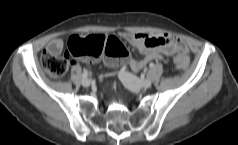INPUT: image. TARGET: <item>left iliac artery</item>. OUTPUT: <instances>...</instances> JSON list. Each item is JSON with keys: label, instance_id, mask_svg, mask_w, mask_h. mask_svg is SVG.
I'll return each mask as SVG.
<instances>
[{"label": "left iliac artery", "instance_id": "44dca946", "mask_svg": "<svg viewBox=\"0 0 238 145\" xmlns=\"http://www.w3.org/2000/svg\"><path fill=\"white\" fill-rule=\"evenodd\" d=\"M149 66H150V68H153V67H154V64H153V63H150Z\"/></svg>", "mask_w": 238, "mask_h": 145}]
</instances>
